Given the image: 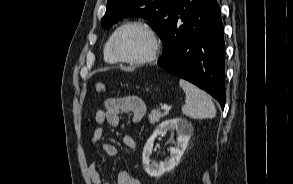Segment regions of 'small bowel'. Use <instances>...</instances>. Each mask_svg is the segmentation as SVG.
<instances>
[{
    "label": "small bowel",
    "mask_w": 293,
    "mask_h": 184,
    "mask_svg": "<svg viewBox=\"0 0 293 184\" xmlns=\"http://www.w3.org/2000/svg\"><path fill=\"white\" fill-rule=\"evenodd\" d=\"M124 113L129 114L133 123H139L146 114V105L140 98L134 96L108 98L104 103V109L98 110L95 114L97 127L93 131L91 144L103 140L106 125L118 126ZM123 143L130 149L136 147V142L130 135L123 137ZM102 150L110 157L117 154L116 147L109 142L102 143ZM88 173L93 184H110L103 180L95 162L89 164ZM116 184H141V181L128 171L123 170L119 172Z\"/></svg>",
    "instance_id": "small-bowel-1"
}]
</instances>
